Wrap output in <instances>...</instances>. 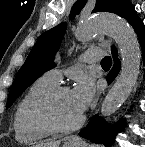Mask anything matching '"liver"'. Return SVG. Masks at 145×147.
<instances>
[{
	"mask_svg": "<svg viewBox=\"0 0 145 147\" xmlns=\"http://www.w3.org/2000/svg\"><path fill=\"white\" fill-rule=\"evenodd\" d=\"M60 142H42L40 144H37L35 147H59Z\"/></svg>",
	"mask_w": 145,
	"mask_h": 147,
	"instance_id": "obj_1",
	"label": "liver"
}]
</instances>
